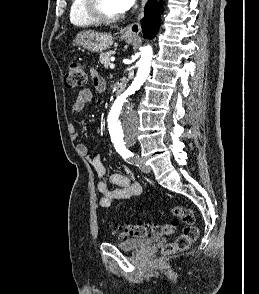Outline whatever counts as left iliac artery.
Here are the masks:
<instances>
[{
  "label": "left iliac artery",
  "mask_w": 259,
  "mask_h": 294,
  "mask_svg": "<svg viewBox=\"0 0 259 294\" xmlns=\"http://www.w3.org/2000/svg\"><path fill=\"white\" fill-rule=\"evenodd\" d=\"M114 146L117 150V152L124 158V159H129L132 163L137 162L139 159L137 156H134V154L129 151L124 144L121 143H114Z\"/></svg>",
  "instance_id": "1"
}]
</instances>
